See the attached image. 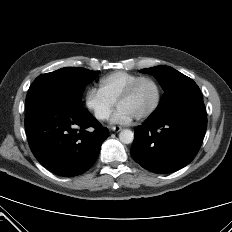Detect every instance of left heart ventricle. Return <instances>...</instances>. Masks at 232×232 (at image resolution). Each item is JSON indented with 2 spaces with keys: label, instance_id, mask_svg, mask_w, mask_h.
Listing matches in <instances>:
<instances>
[{
  "label": "left heart ventricle",
  "instance_id": "b2bd125f",
  "mask_svg": "<svg viewBox=\"0 0 232 232\" xmlns=\"http://www.w3.org/2000/svg\"><path fill=\"white\" fill-rule=\"evenodd\" d=\"M156 97L154 85L149 81L142 82L131 98L122 102L119 107L126 109L135 118L147 112Z\"/></svg>",
  "mask_w": 232,
  "mask_h": 232
}]
</instances>
